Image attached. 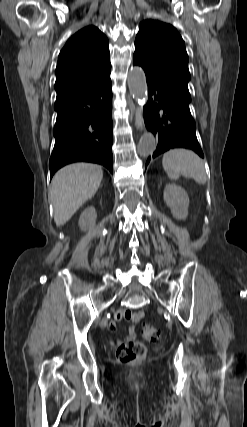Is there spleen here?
Wrapping results in <instances>:
<instances>
[{
	"mask_svg": "<svg viewBox=\"0 0 247 427\" xmlns=\"http://www.w3.org/2000/svg\"><path fill=\"white\" fill-rule=\"evenodd\" d=\"M162 165L171 180H177L182 174L193 178L198 184H205L207 181L203 161L190 150H169L163 155Z\"/></svg>",
	"mask_w": 247,
	"mask_h": 427,
	"instance_id": "obj_1",
	"label": "spleen"
}]
</instances>
